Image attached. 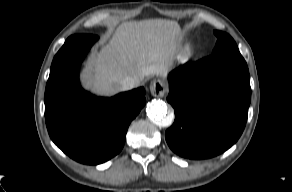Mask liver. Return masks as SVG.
I'll list each match as a JSON object with an SVG mask.
<instances>
[{"label":"liver","instance_id":"liver-1","mask_svg":"<svg viewBox=\"0 0 292 192\" xmlns=\"http://www.w3.org/2000/svg\"><path fill=\"white\" fill-rule=\"evenodd\" d=\"M182 33L176 21L147 19L124 22L108 44L91 55V70L85 72L86 87L99 94L120 92L127 76L138 86L145 77H165L171 69Z\"/></svg>","mask_w":292,"mask_h":192}]
</instances>
